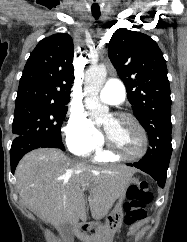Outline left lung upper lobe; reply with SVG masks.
Segmentation results:
<instances>
[{"instance_id": "left-lung-upper-lobe-1", "label": "left lung upper lobe", "mask_w": 187, "mask_h": 242, "mask_svg": "<svg viewBox=\"0 0 187 242\" xmlns=\"http://www.w3.org/2000/svg\"><path fill=\"white\" fill-rule=\"evenodd\" d=\"M109 58L127 89L136 118L147 131L149 145L143 162H169L171 97L166 61L148 35L120 28L109 42Z\"/></svg>"}]
</instances>
